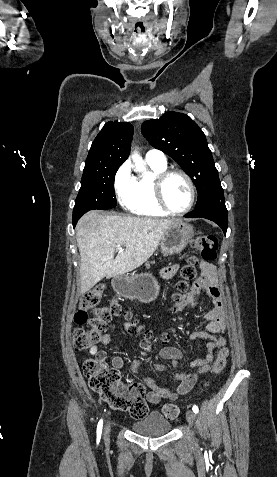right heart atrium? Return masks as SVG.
<instances>
[{
	"label": "right heart atrium",
	"instance_id": "1",
	"mask_svg": "<svg viewBox=\"0 0 277 477\" xmlns=\"http://www.w3.org/2000/svg\"><path fill=\"white\" fill-rule=\"evenodd\" d=\"M134 177L131 172L130 165L124 163L117 170L114 177V187L117 198L122 205L128 203L133 190Z\"/></svg>",
	"mask_w": 277,
	"mask_h": 477
}]
</instances>
